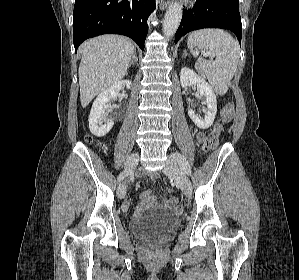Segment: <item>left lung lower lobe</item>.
Instances as JSON below:
<instances>
[{"label":"left lung lower lobe","instance_id":"left-lung-lower-lobe-1","mask_svg":"<svg viewBox=\"0 0 299 280\" xmlns=\"http://www.w3.org/2000/svg\"><path fill=\"white\" fill-rule=\"evenodd\" d=\"M239 0H197L193 9L183 12L175 43L186 33L202 28H221L235 33L240 44L242 24Z\"/></svg>","mask_w":299,"mask_h":280}]
</instances>
